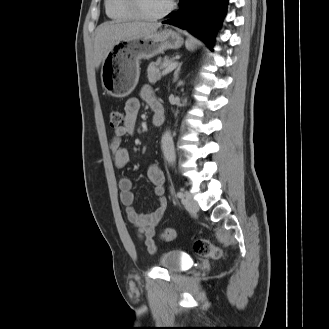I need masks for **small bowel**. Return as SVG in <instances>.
<instances>
[{
  "mask_svg": "<svg viewBox=\"0 0 329 329\" xmlns=\"http://www.w3.org/2000/svg\"><path fill=\"white\" fill-rule=\"evenodd\" d=\"M141 96L152 109H154L155 105L161 107L159 101L149 88H144L141 92ZM139 111V100L137 98L128 99L124 107V124L114 129L110 142V149L112 151L113 163L118 169L124 168L129 162V153L127 149L122 146V138L134 133ZM147 177L153 185L154 194L159 198L157 207L149 213L140 214L134 208L133 183L131 179L127 177L121 178L118 187L120 191V201L126 207L125 214L127 219L137 227L138 236L147 247V250L150 253H154L157 250L154 240L155 228L166 209V200L164 198L165 177L158 164H152L148 167Z\"/></svg>",
  "mask_w": 329,
  "mask_h": 329,
  "instance_id": "small-bowel-1",
  "label": "small bowel"
}]
</instances>
